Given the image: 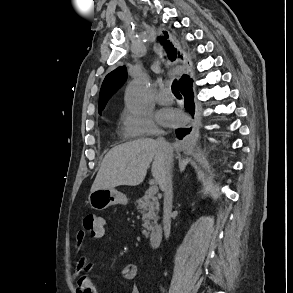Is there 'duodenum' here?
I'll return each instance as SVG.
<instances>
[{
	"mask_svg": "<svg viewBox=\"0 0 293 293\" xmlns=\"http://www.w3.org/2000/svg\"><path fill=\"white\" fill-rule=\"evenodd\" d=\"M163 233V227L160 223L154 225L149 233V244L152 249L158 248Z\"/></svg>",
	"mask_w": 293,
	"mask_h": 293,
	"instance_id": "duodenum-1",
	"label": "duodenum"
}]
</instances>
